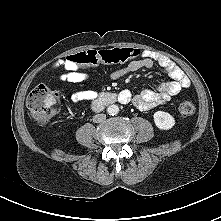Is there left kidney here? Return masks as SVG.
Instances as JSON below:
<instances>
[{
  "instance_id": "5707ae66",
  "label": "left kidney",
  "mask_w": 221,
  "mask_h": 221,
  "mask_svg": "<svg viewBox=\"0 0 221 221\" xmlns=\"http://www.w3.org/2000/svg\"><path fill=\"white\" fill-rule=\"evenodd\" d=\"M155 125L160 130H169L175 125V119L172 115L164 111H157L153 115Z\"/></svg>"
}]
</instances>
